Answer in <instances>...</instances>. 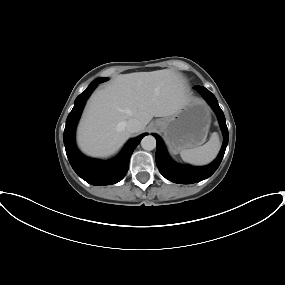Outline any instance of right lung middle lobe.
<instances>
[{"label": "right lung middle lobe", "mask_w": 285, "mask_h": 285, "mask_svg": "<svg viewBox=\"0 0 285 285\" xmlns=\"http://www.w3.org/2000/svg\"><path fill=\"white\" fill-rule=\"evenodd\" d=\"M96 80H98L99 82H104V81H106L107 79H106V78H101V79H96Z\"/></svg>", "instance_id": "right-lung-middle-lobe-1"}]
</instances>
